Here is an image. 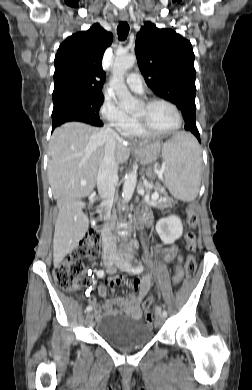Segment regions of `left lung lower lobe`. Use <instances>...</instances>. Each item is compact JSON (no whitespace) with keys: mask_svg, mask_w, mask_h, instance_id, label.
Segmentation results:
<instances>
[{"mask_svg":"<svg viewBox=\"0 0 252 390\" xmlns=\"http://www.w3.org/2000/svg\"><path fill=\"white\" fill-rule=\"evenodd\" d=\"M184 120H185V129L191 131L200 141V135L196 127L195 114H190V113L187 114Z\"/></svg>","mask_w":252,"mask_h":390,"instance_id":"obj_1","label":"left lung lower lobe"}]
</instances>
